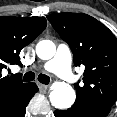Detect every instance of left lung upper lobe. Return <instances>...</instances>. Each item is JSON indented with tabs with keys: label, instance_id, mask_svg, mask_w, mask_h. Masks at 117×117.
<instances>
[{
	"label": "left lung upper lobe",
	"instance_id": "obj_1",
	"mask_svg": "<svg viewBox=\"0 0 117 117\" xmlns=\"http://www.w3.org/2000/svg\"><path fill=\"white\" fill-rule=\"evenodd\" d=\"M68 43L75 66H85L83 83L74 84L76 101L112 107L117 99V39L95 18L82 13L47 16Z\"/></svg>",
	"mask_w": 117,
	"mask_h": 117
}]
</instances>
